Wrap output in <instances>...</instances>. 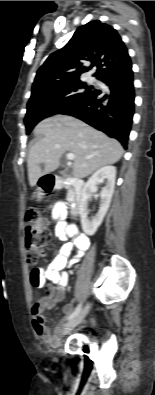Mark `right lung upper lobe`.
<instances>
[{
  "mask_svg": "<svg viewBox=\"0 0 155 395\" xmlns=\"http://www.w3.org/2000/svg\"><path fill=\"white\" fill-rule=\"evenodd\" d=\"M87 62L91 65L86 66ZM130 65L128 50L118 32L99 20L91 21L79 27L70 41L39 68L32 95L49 85L78 80L93 67H97L94 76L100 79L108 72Z\"/></svg>",
  "mask_w": 155,
  "mask_h": 395,
  "instance_id": "1",
  "label": "right lung upper lobe"
}]
</instances>
